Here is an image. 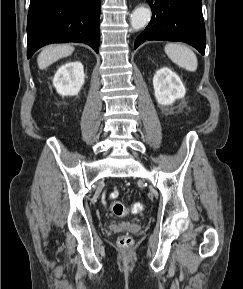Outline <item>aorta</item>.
<instances>
[{"mask_svg": "<svg viewBox=\"0 0 243 289\" xmlns=\"http://www.w3.org/2000/svg\"><path fill=\"white\" fill-rule=\"evenodd\" d=\"M151 18V10L147 7L140 6L136 8L131 15V26L134 31L143 28Z\"/></svg>", "mask_w": 243, "mask_h": 289, "instance_id": "obj_1", "label": "aorta"}]
</instances>
